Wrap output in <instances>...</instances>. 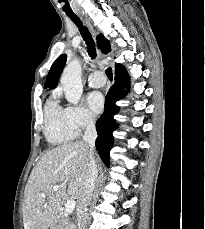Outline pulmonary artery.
Returning a JSON list of instances; mask_svg holds the SVG:
<instances>
[{
	"label": "pulmonary artery",
	"mask_w": 205,
	"mask_h": 229,
	"mask_svg": "<svg viewBox=\"0 0 205 229\" xmlns=\"http://www.w3.org/2000/svg\"><path fill=\"white\" fill-rule=\"evenodd\" d=\"M88 85L92 88H99L105 84V78L99 72L91 73L87 78Z\"/></svg>",
	"instance_id": "1"
}]
</instances>
